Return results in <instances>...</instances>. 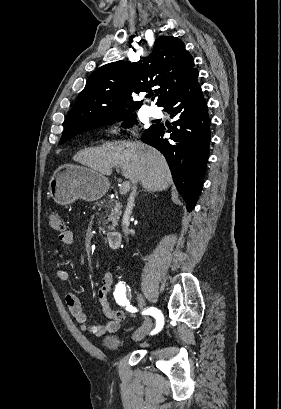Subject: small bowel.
<instances>
[{"instance_id": "c3829d8e", "label": "small bowel", "mask_w": 281, "mask_h": 409, "mask_svg": "<svg viewBox=\"0 0 281 409\" xmlns=\"http://www.w3.org/2000/svg\"><path fill=\"white\" fill-rule=\"evenodd\" d=\"M73 233L66 230L59 235L58 244L53 250V256H59L66 248L73 242ZM57 279L60 282H67L69 274L65 270H58L56 272ZM115 288V279L111 271L105 272L101 280V286L97 290V297L103 308L105 316L109 319L104 324H89L87 322L86 314L83 312L79 298L73 294L68 293L65 296V303L72 317L80 325V330L95 337H101L105 334L115 333L119 330L122 319L116 317V312L109 300V295L113 293Z\"/></svg>"}]
</instances>
